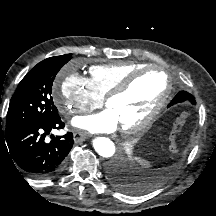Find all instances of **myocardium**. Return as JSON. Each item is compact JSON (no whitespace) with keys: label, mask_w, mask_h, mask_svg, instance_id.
<instances>
[{"label":"myocardium","mask_w":216,"mask_h":216,"mask_svg":"<svg viewBox=\"0 0 216 216\" xmlns=\"http://www.w3.org/2000/svg\"><path fill=\"white\" fill-rule=\"evenodd\" d=\"M152 70H158L160 73L165 77L166 79V89L161 96V98L158 100L154 108L138 123L131 125V126H124L121 127V131L126 134V135H132L136 134L138 132L143 131L146 129L157 117L158 115L162 112V110L166 107L167 103L169 102V99L172 94V81L169 76V74L163 70L162 68L158 66H142L134 71L130 72L125 78L122 79L121 82H119L109 93L106 94L104 103L108 107L109 102L117 98L124 93H126L134 81L138 79L140 76L143 74L152 71Z\"/></svg>","instance_id":"obj_1"}]
</instances>
